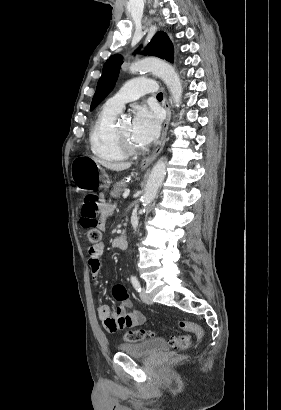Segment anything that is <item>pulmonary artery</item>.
<instances>
[{"instance_id": "1", "label": "pulmonary artery", "mask_w": 281, "mask_h": 410, "mask_svg": "<svg viewBox=\"0 0 281 410\" xmlns=\"http://www.w3.org/2000/svg\"><path fill=\"white\" fill-rule=\"evenodd\" d=\"M156 91L157 86L153 81L146 78H135L126 82L115 95L106 101L105 106L121 112L126 103L137 100L145 93Z\"/></svg>"}]
</instances>
